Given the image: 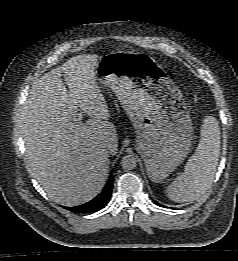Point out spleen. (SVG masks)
<instances>
[{"label":"spleen","mask_w":238,"mask_h":261,"mask_svg":"<svg viewBox=\"0 0 238 261\" xmlns=\"http://www.w3.org/2000/svg\"><path fill=\"white\" fill-rule=\"evenodd\" d=\"M201 138L195 153L188 159L184 172L165 190L174 202L199 199L212 185L220 155V129L213 116H207L201 127Z\"/></svg>","instance_id":"obj_1"}]
</instances>
